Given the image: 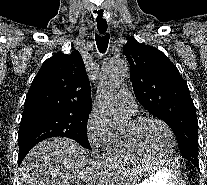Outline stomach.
<instances>
[{
	"instance_id": "0dacf381",
	"label": "stomach",
	"mask_w": 207,
	"mask_h": 185,
	"mask_svg": "<svg viewBox=\"0 0 207 185\" xmlns=\"http://www.w3.org/2000/svg\"><path fill=\"white\" fill-rule=\"evenodd\" d=\"M188 176L184 165L170 162L145 178L139 185H187Z\"/></svg>"
}]
</instances>
